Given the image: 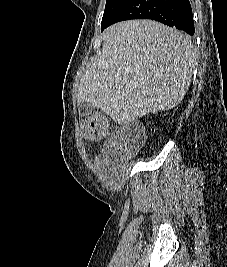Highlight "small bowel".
<instances>
[{
    "instance_id": "obj_1",
    "label": "small bowel",
    "mask_w": 227,
    "mask_h": 267,
    "mask_svg": "<svg viewBox=\"0 0 227 267\" xmlns=\"http://www.w3.org/2000/svg\"><path fill=\"white\" fill-rule=\"evenodd\" d=\"M118 135H115L113 140L106 146L103 153L97 157V164L102 165L107 163L110 159V156L114 153L113 146Z\"/></svg>"
}]
</instances>
